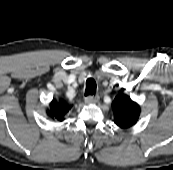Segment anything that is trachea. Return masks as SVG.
Segmentation results:
<instances>
[{"mask_svg":"<svg viewBox=\"0 0 173 170\" xmlns=\"http://www.w3.org/2000/svg\"><path fill=\"white\" fill-rule=\"evenodd\" d=\"M96 82L93 78H88L86 80L85 96H91L95 93Z\"/></svg>","mask_w":173,"mask_h":170,"instance_id":"trachea-1","label":"trachea"}]
</instances>
